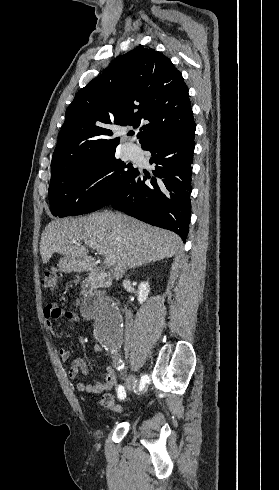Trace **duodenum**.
Instances as JSON below:
<instances>
[{"label":"duodenum","instance_id":"duodenum-1","mask_svg":"<svg viewBox=\"0 0 279 490\" xmlns=\"http://www.w3.org/2000/svg\"><path fill=\"white\" fill-rule=\"evenodd\" d=\"M81 313L84 318L91 319L95 314V301L92 296H86L81 302Z\"/></svg>","mask_w":279,"mask_h":490}]
</instances>
